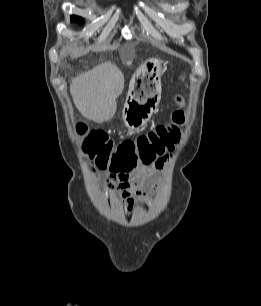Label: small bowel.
Returning a JSON list of instances; mask_svg holds the SVG:
<instances>
[{
    "label": "small bowel",
    "mask_w": 261,
    "mask_h": 306,
    "mask_svg": "<svg viewBox=\"0 0 261 306\" xmlns=\"http://www.w3.org/2000/svg\"><path fill=\"white\" fill-rule=\"evenodd\" d=\"M171 157L165 155L150 166H140L131 171H112L108 176V191L122 201L125 212H131L140 203H147L159 190L157 171L164 170Z\"/></svg>",
    "instance_id": "obj_1"
}]
</instances>
